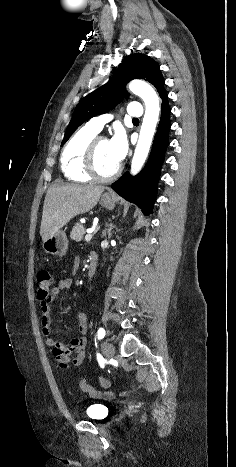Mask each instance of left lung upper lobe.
Segmentation results:
<instances>
[{"label": "left lung upper lobe", "instance_id": "obj_1", "mask_svg": "<svg viewBox=\"0 0 236 467\" xmlns=\"http://www.w3.org/2000/svg\"><path fill=\"white\" fill-rule=\"evenodd\" d=\"M144 79L153 84L159 94L164 90V80L159 65L151 57L136 53L125 57L111 79L84 97L76 106L67 127L63 145L74 131L88 119L104 114L128 96L125 86L132 79Z\"/></svg>", "mask_w": 236, "mask_h": 467}]
</instances>
